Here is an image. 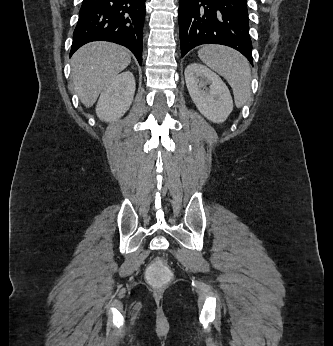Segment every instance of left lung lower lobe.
Listing matches in <instances>:
<instances>
[{"instance_id": "1", "label": "left lung lower lobe", "mask_w": 333, "mask_h": 346, "mask_svg": "<svg viewBox=\"0 0 333 346\" xmlns=\"http://www.w3.org/2000/svg\"><path fill=\"white\" fill-rule=\"evenodd\" d=\"M181 56L201 44H222L251 64L247 0H179Z\"/></svg>"}]
</instances>
